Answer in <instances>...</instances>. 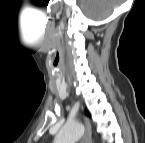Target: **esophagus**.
I'll return each instance as SVG.
<instances>
[{"label":"esophagus","instance_id":"1","mask_svg":"<svg viewBox=\"0 0 145 143\" xmlns=\"http://www.w3.org/2000/svg\"><path fill=\"white\" fill-rule=\"evenodd\" d=\"M86 132L84 136L85 143H92V131L89 122L85 119Z\"/></svg>","mask_w":145,"mask_h":143}]
</instances>
